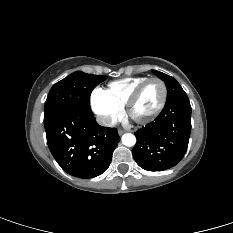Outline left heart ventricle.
<instances>
[{
	"label": "left heart ventricle",
	"mask_w": 233,
	"mask_h": 233,
	"mask_svg": "<svg viewBox=\"0 0 233 233\" xmlns=\"http://www.w3.org/2000/svg\"><path fill=\"white\" fill-rule=\"evenodd\" d=\"M162 93V86L159 82L152 81L148 83L132 108V116L134 118H144L150 115L158 107Z\"/></svg>",
	"instance_id": "left-heart-ventricle-1"
}]
</instances>
